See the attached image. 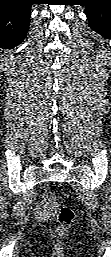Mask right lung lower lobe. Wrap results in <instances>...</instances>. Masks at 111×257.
Wrapping results in <instances>:
<instances>
[{"label":"right lung lower lobe","instance_id":"1","mask_svg":"<svg viewBox=\"0 0 111 257\" xmlns=\"http://www.w3.org/2000/svg\"><path fill=\"white\" fill-rule=\"evenodd\" d=\"M31 0H0V47L17 46L26 37Z\"/></svg>","mask_w":111,"mask_h":257}]
</instances>
